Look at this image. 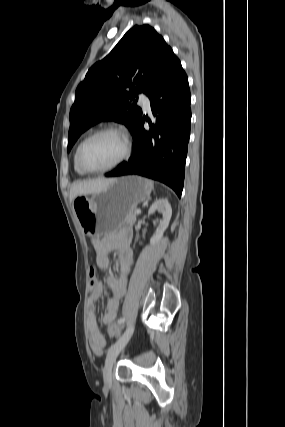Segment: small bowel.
Here are the masks:
<instances>
[{"label":"small bowel","instance_id":"1","mask_svg":"<svg viewBox=\"0 0 285 427\" xmlns=\"http://www.w3.org/2000/svg\"><path fill=\"white\" fill-rule=\"evenodd\" d=\"M130 239V231H122L118 235H109L103 238L95 237L92 240L96 263L103 270H108L110 267V253L115 250L119 251L120 276L109 275L106 279V286L111 291L106 311L102 317V322L106 325L112 324L115 321L120 301L126 291V278L133 262V251L129 246ZM102 294L103 284L99 281L94 288L90 289L88 296V309L92 319L90 346L92 351L97 355L102 353L106 344L105 335L99 330L95 318V305Z\"/></svg>","mask_w":285,"mask_h":427}]
</instances>
